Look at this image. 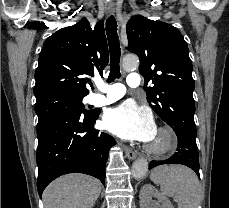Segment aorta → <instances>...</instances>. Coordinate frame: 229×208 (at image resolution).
Masks as SVG:
<instances>
[{
    "label": "aorta",
    "instance_id": "aorta-1",
    "mask_svg": "<svg viewBox=\"0 0 229 208\" xmlns=\"http://www.w3.org/2000/svg\"><path fill=\"white\" fill-rule=\"evenodd\" d=\"M139 60L134 55H127L123 59V68L126 71L134 70L138 67ZM148 171V162L145 159L136 160L131 168V174L135 179H142Z\"/></svg>",
    "mask_w": 229,
    "mask_h": 208
}]
</instances>
